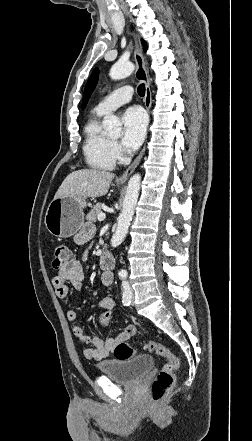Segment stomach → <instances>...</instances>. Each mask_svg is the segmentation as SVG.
I'll return each instance as SVG.
<instances>
[{"label":"stomach","instance_id":"1","mask_svg":"<svg viewBox=\"0 0 252 441\" xmlns=\"http://www.w3.org/2000/svg\"><path fill=\"white\" fill-rule=\"evenodd\" d=\"M89 205L83 197L54 198L45 214L48 231L58 238L75 235L84 222V209Z\"/></svg>","mask_w":252,"mask_h":441}]
</instances>
